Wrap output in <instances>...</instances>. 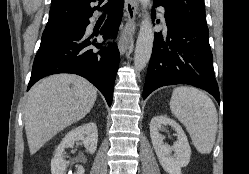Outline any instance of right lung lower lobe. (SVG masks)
Listing matches in <instances>:
<instances>
[{
    "instance_id": "obj_1",
    "label": "right lung lower lobe",
    "mask_w": 249,
    "mask_h": 174,
    "mask_svg": "<svg viewBox=\"0 0 249 174\" xmlns=\"http://www.w3.org/2000/svg\"><path fill=\"white\" fill-rule=\"evenodd\" d=\"M123 5L124 0H115L109 7L108 19L101 29V34H104L105 38L117 30L121 22ZM89 23V18L66 22L47 41L41 42L27 90L48 75L73 73L94 84L104 95L108 105H111L120 60L119 50L116 45H111L98 53L88 49L91 42L84 34ZM92 44L101 48L95 42Z\"/></svg>"
}]
</instances>
